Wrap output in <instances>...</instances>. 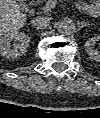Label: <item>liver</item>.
Segmentation results:
<instances>
[{"label":"liver","instance_id":"6515ba94","mask_svg":"<svg viewBox=\"0 0 100 118\" xmlns=\"http://www.w3.org/2000/svg\"><path fill=\"white\" fill-rule=\"evenodd\" d=\"M16 1L24 0H0V35L5 36L22 28L27 16L20 11V5Z\"/></svg>","mask_w":100,"mask_h":118}]
</instances>
